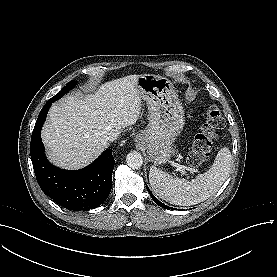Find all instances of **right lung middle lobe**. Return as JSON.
<instances>
[{"label":"right lung middle lobe","mask_w":277,"mask_h":277,"mask_svg":"<svg viewBox=\"0 0 277 277\" xmlns=\"http://www.w3.org/2000/svg\"><path fill=\"white\" fill-rule=\"evenodd\" d=\"M75 84H76L75 81H70L58 94L50 98L48 101H52V102L57 101L62 96H64L69 90H71L75 86Z\"/></svg>","instance_id":"right-lung-middle-lobe-1"}]
</instances>
